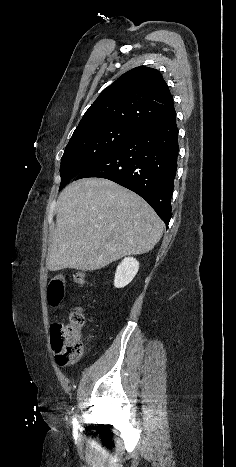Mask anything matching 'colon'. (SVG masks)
Masks as SVG:
<instances>
[{
    "mask_svg": "<svg viewBox=\"0 0 236 467\" xmlns=\"http://www.w3.org/2000/svg\"><path fill=\"white\" fill-rule=\"evenodd\" d=\"M72 281L78 286L87 284L88 276L84 270L72 273ZM65 295V279L62 275L54 276L48 283L47 301L51 307H58ZM85 323V316L80 308L69 314L67 323H55L51 331V345L55 353V360L61 367L75 364L83 352L81 329Z\"/></svg>",
    "mask_w": 236,
    "mask_h": 467,
    "instance_id": "1",
    "label": "colon"
}]
</instances>
